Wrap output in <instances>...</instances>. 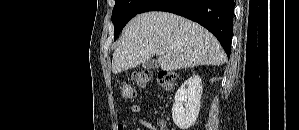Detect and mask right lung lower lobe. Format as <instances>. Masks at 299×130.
Instances as JSON below:
<instances>
[{"instance_id":"98d812e1","label":"right lung lower lobe","mask_w":299,"mask_h":130,"mask_svg":"<svg viewBox=\"0 0 299 130\" xmlns=\"http://www.w3.org/2000/svg\"><path fill=\"white\" fill-rule=\"evenodd\" d=\"M166 11L191 19L211 31L230 56L233 0H149L139 11Z\"/></svg>"}]
</instances>
